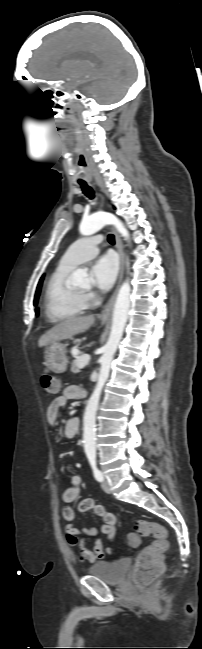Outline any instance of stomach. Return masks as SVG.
<instances>
[{
  "mask_svg": "<svg viewBox=\"0 0 202 649\" xmlns=\"http://www.w3.org/2000/svg\"><path fill=\"white\" fill-rule=\"evenodd\" d=\"M106 320L102 319V323ZM65 344L54 342L46 346L44 350L45 364L54 373H63L67 368V357Z\"/></svg>",
  "mask_w": 202,
  "mask_h": 649,
  "instance_id": "1",
  "label": "stomach"
}]
</instances>
